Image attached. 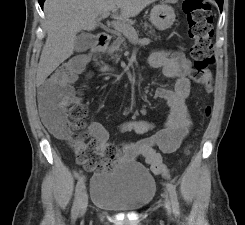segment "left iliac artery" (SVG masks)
<instances>
[{"instance_id": "44dca946", "label": "left iliac artery", "mask_w": 245, "mask_h": 225, "mask_svg": "<svg viewBox=\"0 0 245 225\" xmlns=\"http://www.w3.org/2000/svg\"><path fill=\"white\" fill-rule=\"evenodd\" d=\"M166 187H167L168 192L170 194V198H171V202H172V207H173V212L176 215H179V213H180V210H179V202H178V198H177V193H176L175 187L171 183H166Z\"/></svg>"}]
</instances>
